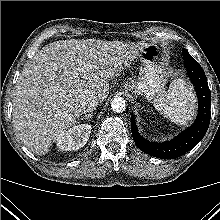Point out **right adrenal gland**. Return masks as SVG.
<instances>
[{"label": "right adrenal gland", "mask_w": 220, "mask_h": 220, "mask_svg": "<svg viewBox=\"0 0 220 220\" xmlns=\"http://www.w3.org/2000/svg\"><path fill=\"white\" fill-rule=\"evenodd\" d=\"M92 116H93V112H91V113H89V114H85V115L81 118V120H88L89 118H92Z\"/></svg>", "instance_id": "obj_1"}]
</instances>
